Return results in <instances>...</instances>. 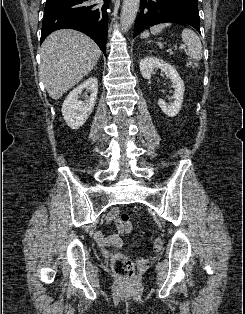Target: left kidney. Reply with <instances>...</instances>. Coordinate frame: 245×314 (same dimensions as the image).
I'll list each match as a JSON object with an SVG mask.
<instances>
[{
  "label": "left kidney",
  "mask_w": 245,
  "mask_h": 314,
  "mask_svg": "<svg viewBox=\"0 0 245 314\" xmlns=\"http://www.w3.org/2000/svg\"><path fill=\"white\" fill-rule=\"evenodd\" d=\"M156 69H161V71L164 72L166 77L171 80L172 87L174 88L173 101L166 103L162 99H159L158 105L164 114L169 117H174L179 113L182 107L185 92L184 83L176 69L163 60L152 56H147L140 60V71L145 79H150Z\"/></svg>",
  "instance_id": "1"
}]
</instances>
